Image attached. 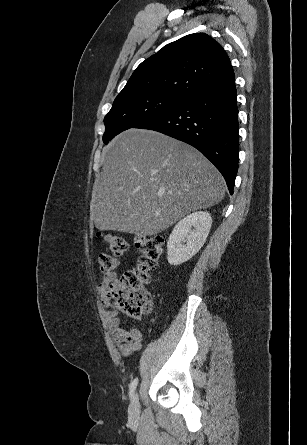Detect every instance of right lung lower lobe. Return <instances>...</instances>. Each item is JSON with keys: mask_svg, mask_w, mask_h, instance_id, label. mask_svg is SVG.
<instances>
[{"mask_svg": "<svg viewBox=\"0 0 307 445\" xmlns=\"http://www.w3.org/2000/svg\"><path fill=\"white\" fill-rule=\"evenodd\" d=\"M236 96L232 73L134 128L158 131L192 145L216 166L233 194L239 152Z\"/></svg>", "mask_w": 307, "mask_h": 445, "instance_id": "1", "label": "right lung lower lobe"}]
</instances>
